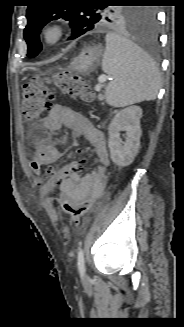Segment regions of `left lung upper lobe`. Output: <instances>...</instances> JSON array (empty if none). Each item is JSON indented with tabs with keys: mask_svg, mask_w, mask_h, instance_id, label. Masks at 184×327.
I'll list each match as a JSON object with an SVG mask.
<instances>
[{
	"mask_svg": "<svg viewBox=\"0 0 184 327\" xmlns=\"http://www.w3.org/2000/svg\"><path fill=\"white\" fill-rule=\"evenodd\" d=\"M48 0H34L27 8V26L24 38L28 46L27 56L35 57L42 49L39 32L48 22L55 19H65L73 28V35L84 33L102 25L128 24L138 25L145 16V9L132 7L108 6L111 3H133L134 0H100L96 4L86 0H74L72 5H49Z\"/></svg>",
	"mask_w": 184,
	"mask_h": 327,
	"instance_id": "1",
	"label": "left lung upper lobe"
}]
</instances>
